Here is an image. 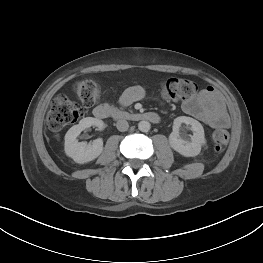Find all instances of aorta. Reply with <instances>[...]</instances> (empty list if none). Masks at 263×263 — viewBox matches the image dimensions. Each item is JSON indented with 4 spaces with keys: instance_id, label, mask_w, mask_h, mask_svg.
<instances>
[{
    "instance_id": "obj_1",
    "label": "aorta",
    "mask_w": 263,
    "mask_h": 263,
    "mask_svg": "<svg viewBox=\"0 0 263 263\" xmlns=\"http://www.w3.org/2000/svg\"><path fill=\"white\" fill-rule=\"evenodd\" d=\"M151 128V124L148 121H140L138 123V129L141 132H148Z\"/></svg>"
}]
</instances>
